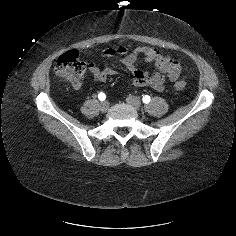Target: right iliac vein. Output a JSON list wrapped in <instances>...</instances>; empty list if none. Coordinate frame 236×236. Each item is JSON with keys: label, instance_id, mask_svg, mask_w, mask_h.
Wrapping results in <instances>:
<instances>
[{"label": "right iliac vein", "instance_id": "right-iliac-vein-1", "mask_svg": "<svg viewBox=\"0 0 236 236\" xmlns=\"http://www.w3.org/2000/svg\"><path fill=\"white\" fill-rule=\"evenodd\" d=\"M108 109H109V103H108L107 101L102 102V103L100 104V110H101L102 112H106Z\"/></svg>", "mask_w": 236, "mask_h": 236}]
</instances>
